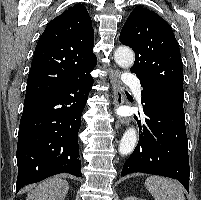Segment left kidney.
I'll return each instance as SVG.
<instances>
[{"label":"left kidney","mask_w":201,"mask_h":200,"mask_svg":"<svg viewBox=\"0 0 201 200\" xmlns=\"http://www.w3.org/2000/svg\"><path fill=\"white\" fill-rule=\"evenodd\" d=\"M124 200H146V199H139L137 197L130 196V197H126Z\"/></svg>","instance_id":"1"}]
</instances>
